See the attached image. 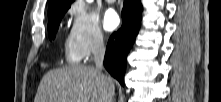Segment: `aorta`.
Returning a JSON list of instances; mask_svg holds the SVG:
<instances>
[{
    "mask_svg": "<svg viewBox=\"0 0 221 102\" xmlns=\"http://www.w3.org/2000/svg\"><path fill=\"white\" fill-rule=\"evenodd\" d=\"M88 2H92V0H87Z\"/></svg>",
    "mask_w": 221,
    "mask_h": 102,
    "instance_id": "762f6f07",
    "label": "aorta"
}]
</instances>
